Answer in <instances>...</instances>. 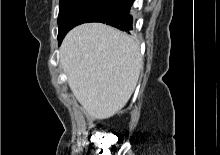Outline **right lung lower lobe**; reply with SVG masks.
Wrapping results in <instances>:
<instances>
[{
    "label": "right lung lower lobe",
    "mask_w": 220,
    "mask_h": 155,
    "mask_svg": "<svg viewBox=\"0 0 220 155\" xmlns=\"http://www.w3.org/2000/svg\"><path fill=\"white\" fill-rule=\"evenodd\" d=\"M132 3V0H122L117 6L92 17L87 22L106 23L123 31L132 30V16L129 14Z\"/></svg>",
    "instance_id": "obj_1"
}]
</instances>
